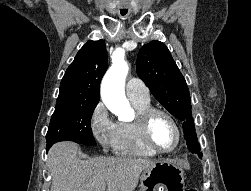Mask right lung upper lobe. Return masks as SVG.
<instances>
[{"label":"right lung upper lobe","instance_id":"right-lung-upper-lobe-1","mask_svg":"<svg viewBox=\"0 0 251 191\" xmlns=\"http://www.w3.org/2000/svg\"><path fill=\"white\" fill-rule=\"evenodd\" d=\"M107 68L105 42L88 41L62 78L56 107L98 104L100 82Z\"/></svg>","mask_w":251,"mask_h":191}]
</instances>
